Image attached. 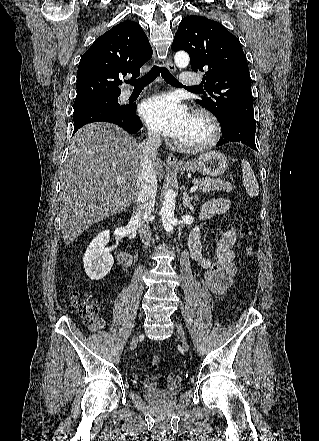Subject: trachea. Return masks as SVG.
<instances>
[{"label": "trachea", "instance_id": "obj_1", "mask_svg": "<svg viewBox=\"0 0 319 441\" xmlns=\"http://www.w3.org/2000/svg\"><path fill=\"white\" fill-rule=\"evenodd\" d=\"M161 74L162 78L169 84L177 87H183L175 77L165 68L161 66L154 65L152 69L145 74L143 77L135 80L128 81L129 84L133 85L134 88L145 87L149 83L153 82L157 76ZM187 89H199V87H185Z\"/></svg>", "mask_w": 319, "mask_h": 441}]
</instances>
